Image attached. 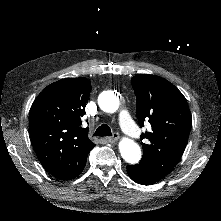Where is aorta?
Returning a JSON list of instances; mask_svg holds the SVG:
<instances>
[{
	"label": "aorta",
	"instance_id": "obj_1",
	"mask_svg": "<svg viewBox=\"0 0 221 221\" xmlns=\"http://www.w3.org/2000/svg\"><path fill=\"white\" fill-rule=\"evenodd\" d=\"M99 106L104 112L114 113L119 107V99L113 92H105L99 97ZM119 151L127 163L136 164L141 160V149L131 139L123 138L119 143Z\"/></svg>",
	"mask_w": 221,
	"mask_h": 221
}]
</instances>
